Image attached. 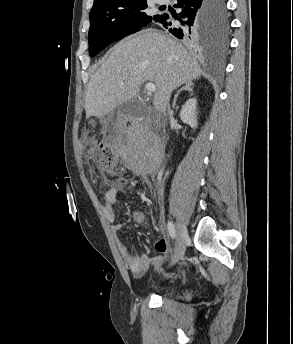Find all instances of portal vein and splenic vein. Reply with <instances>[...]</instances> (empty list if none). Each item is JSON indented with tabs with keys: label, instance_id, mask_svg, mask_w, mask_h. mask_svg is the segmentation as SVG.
<instances>
[{
	"label": "portal vein and splenic vein",
	"instance_id": "18ae733b",
	"mask_svg": "<svg viewBox=\"0 0 293 344\" xmlns=\"http://www.w3.org/2000/svg\"><path fill=\"white\" fill-rule=\"evenodd\" d=\"M145 88L148 93H152L156 91V85L154 83H147Z\"/></svg>",
	"mask_w": 293,
	"mask_h": 344
}]
</instances>
